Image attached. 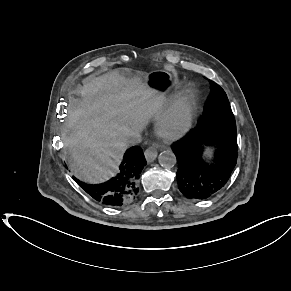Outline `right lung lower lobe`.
<instances>
[{"instance_id":"98d812e1","label":"right lung lower lobe","mask_w":291,"mask_h":291,"mask_svg":"<svg viewBox=\"0 0 291 291\" xmlns=\"http://www.w3.org/2000/svg\"><path fill=\"white\" fill-rule=\"evenodd\" d=\"M146 165L142 149L133 146L124 154L118 174L102 184L89 185L74 177L80 187L97 202L119 207L132 202L139 192L140 174Z\"/></svg>"}]
</instances>
